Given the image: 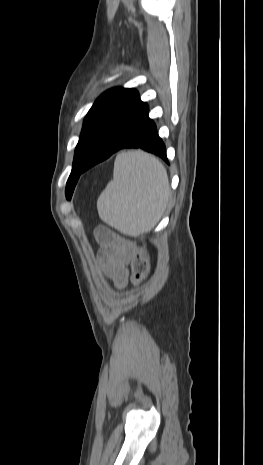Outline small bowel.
Here are the masks:
<instances>
[{"label": "small bowel", "mask_w": 263, "mask_h": 465, "mask_svg": "<svg viewBox=\"0 0 263 465\" xmlns=\"http://www.w3.org/2000/svg\"><path fill=\"white\" fill-rule=\"evenodd\" d=\"M97 238L109 263L108 272L111 278L118 287L124 286L128 278L126 264L130 258V252L123 249L118 240L108 231H99Z\"/></svg>", "instance_id": "1"}]
</instances>
